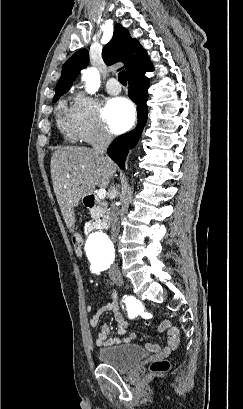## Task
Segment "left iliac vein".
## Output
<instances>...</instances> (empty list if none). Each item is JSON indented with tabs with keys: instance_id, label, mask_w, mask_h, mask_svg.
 Instances as JSON below:
<instances>
[{
	"instance_id": "left-iliac-vein-1",
	"label": "left iliac vein",
	"mask_w": 243,
	"mask_h": 409,
	"mask_svg": "<svg viewBox=\"0 0 243 409\" xmlns=\"http://www.w3.org/2000/svg\"><path fill=\"white\" fill-rule=\"evenodd\" d=\"M111 279L115 284H117L119 286H121L123 284V279L118 274H112Z\"/></svg>"
}]
</instances>
